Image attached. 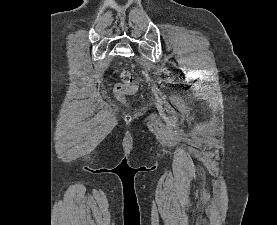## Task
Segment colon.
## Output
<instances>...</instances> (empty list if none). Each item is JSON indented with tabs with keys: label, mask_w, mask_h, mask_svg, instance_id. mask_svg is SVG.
I'll return each mask as SVG.
<instances>
[{
	"label": "colon",
	"mask_w": 277,
	"mask_h": 225,
	"mask_svg": "<svg viewBox=\"0 0 277 225\" xmlns=\"http://www.w3.org/2000/svg\"><path fill=\"white\" fill-rule=\"evenodd\" d=\"M138 91V85L134 79L133 74L130 71H124L122 73V82L117 84L114 88L115 96L124 101L127 96L134 94Z\"/></svg>",
	"instance_id": "5ec220e1"
}]
</instances>
